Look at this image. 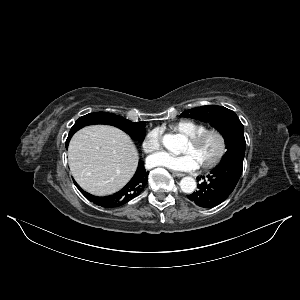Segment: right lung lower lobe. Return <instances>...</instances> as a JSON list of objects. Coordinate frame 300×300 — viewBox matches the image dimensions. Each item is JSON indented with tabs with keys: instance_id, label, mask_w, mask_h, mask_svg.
I'll return each instance as SVG.
<instances>
[{
	"instance_id": "1",
	"label": "right lung lower lobe",
	"mask_w": 300,
	"mask_h": 300,
	"mask_svg": "<svg viewBox=\"0 0 300 300\" xmlns=\"http://www.w3.org/2000/svg\"><path fill=\"white\" fill-rule=\"evenodd\" d=\"M68 143L69 140H67L66 146H68ZM148 174L149 172L146 171L144 168V162L140 160L138 168L132 179L128 182V184L117 193L104 197L91 195L82 190L75 181L74 183L89 201L105 208H113L124 205L130 200L137 197L144 190L147 184Z\"/></svg>"
}]
</instances>
